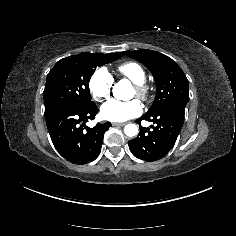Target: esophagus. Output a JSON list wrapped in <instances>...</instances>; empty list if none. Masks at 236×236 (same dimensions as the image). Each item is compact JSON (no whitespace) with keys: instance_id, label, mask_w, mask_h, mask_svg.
<instances>
[{"instance_id":"1","label":"esophagus","mask_w":236,"mask_h":236,"mask_svg":"<svg viewBox=\"0 0 236 236\" xmlns=\"http://www.w3.org/2000/svg\"><path fill=\"white\" fill-rule=\"evenodd\" d=\"M126 123H112L113 126H124Z\"/></svg>"}]
</instances>
